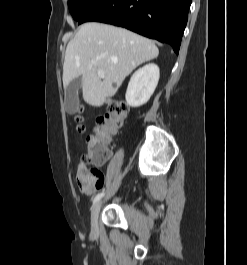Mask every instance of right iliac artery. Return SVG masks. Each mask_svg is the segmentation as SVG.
<instances>
[{
    "instance_id": "obj_1",
    "label": "right iliac artery",
    "mask_w": 247,
    "mask_h": 265,
    "mask_svg": "<svg viewBox=\"0 0 247 265\" xmlns=\"http://www.w3.org/2000/svg\"><path fill=\"white\" fill-rule=\"evenodd\" d=\"M104 196V193H98L94 198H93V204L98 202L102 197Z\"/></svg>"
}]
</instances>
